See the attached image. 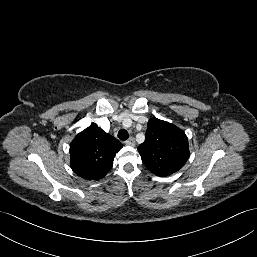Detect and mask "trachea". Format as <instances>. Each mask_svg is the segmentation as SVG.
Here are the masks:
<instances>
[{
    "mask_svg": "<svg viewBox=\"0 0 257 257\" xmlns=\"http://www.w3.org/2000/svg\"><path fill=\"white\" fill-rule=\"evenodd\" d=\"M118 138H119L120 140H122V141L127 140V139L129 138V134H128L127 130H125V129L119 130V132H118Z\"/></svg>",
    "mask_w": 257,
    "mask_h": 257,
    "instance_id": "3493384b",
    "label": "trachea"
}]
</instances>
